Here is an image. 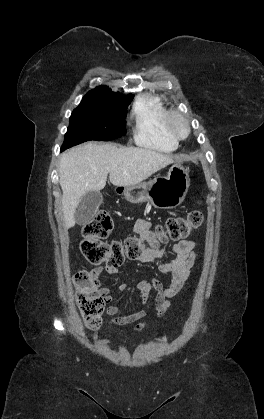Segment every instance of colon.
<instances>
[{"mask_svg":"<svg viewBox=\"0 0 264 419\" xmlns=\"http://www.w3.org/2000/svg\"><path fill=\"white\" fill-rule=\"evenodd\" d=\"M202 220L201 212L194 210L183 217L169 218L164 225L156 226L143 237L131 236L124 241L108 243L104 239L112 231L113 221L109 213L102 211L84 225L80 251L91 264H105L109 268L117 269L127 258L139 259L147 249L158 248L168 240H180L187 237L201 225ZM74 285L78 306L86 325L91 329L98 328L102 323L105 298L88 272L78 273L75 276Z\"/></svg>","mask_w":264,"mask_h":419,"instance_id":"colon-1","label":"colon"}]
</instances>
